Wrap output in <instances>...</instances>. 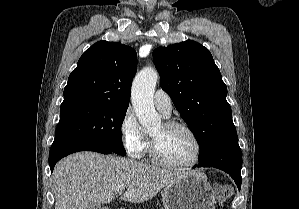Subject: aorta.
Masks as SVG:
<instances>
[{"label":"aorta","mask_w":299,"mask_h":209,"mask_svg":"<svg viewBox=\"0 0 299 209\" xmlns=\"http://www.w3.org/2000/svg\"><path fill=\"white\" fill-rule=\"evenodd\" d=\"M157 80L156 70L146 67L135 76L132 84V105L140 124L145 128L157 126L161 120L153 103Z\"/></svg>","instance_id":"aorta-1"}]
</instances>
